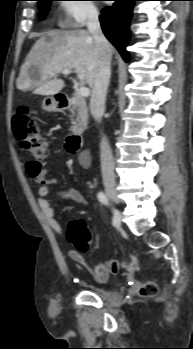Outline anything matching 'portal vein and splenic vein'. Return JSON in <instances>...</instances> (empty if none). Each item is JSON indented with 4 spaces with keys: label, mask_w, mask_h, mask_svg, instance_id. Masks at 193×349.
<instances>
[{
    "label": "portal vein and splenic vein",
    "mask_w": 193,
    "mask_h": 349,
    "mask_svg": "<svg viewBox=\"0 0 193 349\" xmlns=\"http://www.w3.org/2000/svg\"><path fill=\"white\" fill-rule=\"evenodd\" d=\"M61 73L64 74V75H69V74L72 73V70L71 69H66V70H63ZM53 75H54V73H51V76H53ZM78 93L82 97H87L89 95L90 91H89V89L87 87L81 86L78 89Z\"/></svg>",
    "instance_id": "portal-vein-and-splenic-vein-1"
}]
</instances>
